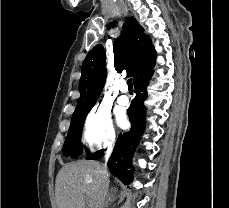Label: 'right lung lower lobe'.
<instances>
[{
  "instance_id": "98d812e1",
  "label": "right lung lower lobe",
  "mask_w": 229,
  "mask_h": 208,
  "mask_svg": "<svg viewBox=\"0 0 229 208\" xmlns=\"http://www.w3.org/2000/svg\"><path fill=\"white\" fill-rule=\"evenodd\" d=\"M152 73L153 72L150 71L134 82L136 96L127 110L131 122V129L129 132L119 135L114 151L108 162L111 174L120 179L124 184H128L133 179L132 170L127 171V168L131 166V157L143 133L145 124V108L143 101L147 97L146 86L148 85ZM102 156L103 150L87 156L86 159L97 160Z\"/></svg>"
}]
</instances>
